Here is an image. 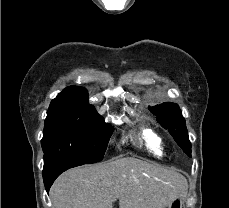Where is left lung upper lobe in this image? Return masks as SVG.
I'll list each match as a JSON object with an SVG mask.
<instances>
[{"label": "left lung upper lobe", "instance_id": "obj_1", "mask_svg": "<svg viewBox=\"0 0 229 208\" xmlns=\"http://www.w3.org/2000/svg\"><path fill=\"white\" fill-rule=\"evenodd\" d=\"M149 110L157 117V121L161 126L169 130L174 140L184 152L191 149L186 121L177 104L165 102L160 105L149 107Z\"/></svg>", "mask_w": 229, "mask_h": 208}]
</instances>
